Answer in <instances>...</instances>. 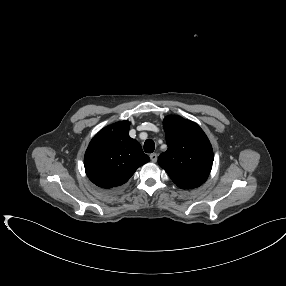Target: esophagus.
Segmentation results:
<instances>
[{
	"label": "esophagus",
	"instance_id": "obj_1",
	"mask_svg": "<svg viewBox=\"0 0 286 286\" xmlns=\"http://www.w3.org/2000/svg\"><path fill=\"white\" fill-rule=\"evenodd\" d=\"M157 158H158V156H157L156 153L150 154V159H151L152 162H156V161H157Z\"/></svg>",
	"mask_w": 286,
	"mask_h": 286
}]
</instances>
